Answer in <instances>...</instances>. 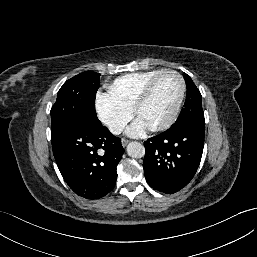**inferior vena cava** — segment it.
I'll return each instance as SVG.
<instances>
[{"mask_svg": "<svg viewBox=\"0 0 257 257\" xmlns=\"http://www.w3.org/2000/svg\"><path fill=\"white\" fill-rule=\"evenodd\" d=\"M125 127L124 123L121 122H111L108 126L111 133L118 135L120 134Z\"/></svg>", "mask_w": 257, "mask_h": 257, "instance_id": "obj_1", "label": "inferior vena cava"}]
</instances>
